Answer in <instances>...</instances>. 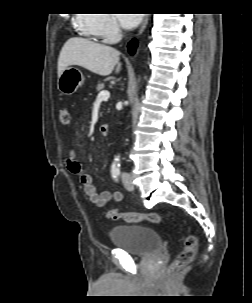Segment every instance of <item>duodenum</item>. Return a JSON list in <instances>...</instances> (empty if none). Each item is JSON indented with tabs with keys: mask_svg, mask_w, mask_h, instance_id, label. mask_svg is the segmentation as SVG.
I'll return each mask as SVG.
<instances>
[{
	"mask_svg": "<svg viewBox=\"0 0 252 303\" xmlns=\"http://www.w3.org/2000/svg\"><path fill=\"white\" fill-rule=\"evenodd\" d=\"M99 131L101 135L103 136L107 135L109 131V125L108 124L101 125Z\"/></svg>",
	"mask_w": 252,
	"mask_h": 303,
	"instance_id": "1",
	"label": "duodenum"
}]
</instances>
